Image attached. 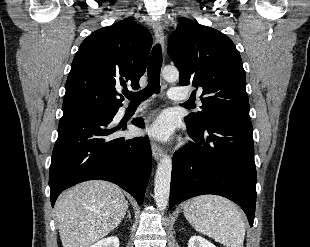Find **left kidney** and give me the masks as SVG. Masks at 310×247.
Returning a JSON list of instances; mask_svg holds the SVG:
<instances>
[{
  "mask_svg": "<svg viewBox=\"0 0 310 247\" xmlns=\"http://www.w3.org/2000/svg\"><path fill=\"white\" fill-rule=\"evenodd\" d=\"M188 247H216L214 244L202 238L201 236H192L189 240Z\"/></svg>",
  "mask_w": 310,
  "mask_h": 247,
  "instance_id": "obj_1",
  "label": "left kidney"
}]
</instances>
